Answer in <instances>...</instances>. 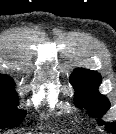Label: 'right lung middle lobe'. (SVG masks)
I'll return each instance as SVG.
<instances>
[{"label":"right lung middle lobe","instance_id":"dd1d6c3e","mask_svg":"<svg viewBox=\"0 0 116 134\" xmlns=\"http://www.w3.org/2000/svg\"><path fill=\"white\" fill-rule=\"evenodd\" d=\"M17 100V95L0 93V129L16 127L24 119L26 112L17 108Z\"/></svg>","mask_w":116,"mask_h":134}]
</instances>
